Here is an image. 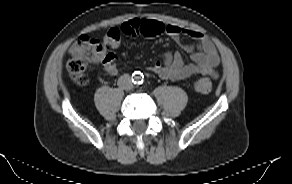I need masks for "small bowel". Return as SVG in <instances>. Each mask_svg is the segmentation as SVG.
Segmentation results:
<instances>
[{"label": "small bowel", "instance_id": "obj_1", "mask_svg": "<svg viewBox=\"0 0 292 184\" xmlns=\"http://www.w3.org/2000/svg\"><path fill=\"white\" fill-rule=\"evenodd\" d=\"M146 20L131 19L120 26L121 33L134 38L142 34V26ZM163 33L172 39L178 41L180 35H187L194 43L185 45V49L191 54V62L185 63L179 53H166L163 62H154L147 67V70L157 74L162 79L183 80L194 74L216 76L217 67L220 64V56L211 39L205 34L193 30L181 28L175 24H164ZM93 61L100 64L104 72L109 76H115L118 73L116 64V54L109 51L98 52Z\"/></svg>", "mask_w": 292, "mask_h": 184}]
</instances>
